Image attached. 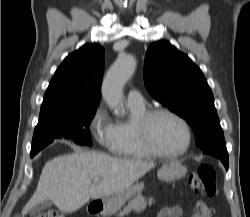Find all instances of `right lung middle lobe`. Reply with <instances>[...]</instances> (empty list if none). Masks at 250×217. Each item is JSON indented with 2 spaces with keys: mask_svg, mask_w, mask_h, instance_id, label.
Listing matches in <instances>:
<instances>
[{
  "mask_svg": "<svg viewBox=\"0 0 250 217\" xmlns=\"http://www.w3.org/2000/svg\"><path fill=\"white\" fill-rule=\"evenodd\" d=\"M97 107L62 110L40 115L33 134L30 156L33 157L57 138H71L81 145H91L89 125Z\"/></svg>",
  "mask_w": 250,
  "mask_h": 217,
  "instance_id": "right-lung-middle-lobe-1",
  "label": "right lung middle lobe"
}]
</instances>
